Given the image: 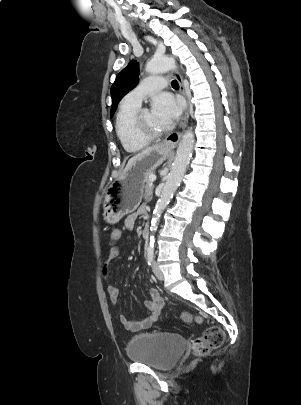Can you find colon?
I'll list each match as a JSON object with an SVG mask.
<instances>
[{
	"mask_svg": "<svg viewBox=\"0 0 301 405\" xmlns=\"http://www.w3.org/2000/svg\"><path fill=\"white\" fill-rule=\"evenodd\" d=\"M105 230L106 236H112L117 233V229L113 224H107ZM115 229V230H114ZM181 320L184 323H189L191 321V316L187 312L181 314ZM225 334L224 331L219 327L208 328L200 337H197L192 342V354L195 357L206 356L209 352L222 346L224 342Z\"/></svg>",
	"mask_w": 301,
	"mask_h": 405,
	"instance_id": "colon-1",
	"label": "colon"
}]
</instances>
